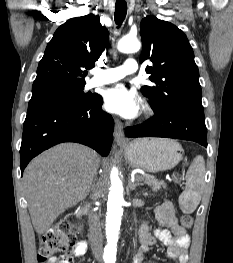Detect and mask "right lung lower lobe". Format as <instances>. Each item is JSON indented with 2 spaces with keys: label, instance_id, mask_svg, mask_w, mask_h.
<instances>
[{
  "label": "right lung lower lobe",
  "instance_id": "obj_1",
  "mask_svg": "<svg viewBox=\"0 0 233 263\" xmlns=\"http://www.w3.org/2000/svg\"><path fill=\"white\" fill-rule=\"evenodd\" d=\"M97 95L76 107H52L27 113L20 148L21 172L32 158L61 142H78L107 156L112 145L114 121L102 110Z\"/></svg>",
  "mask_w": 233,
  "mask_h": 263
}]
</instances>
